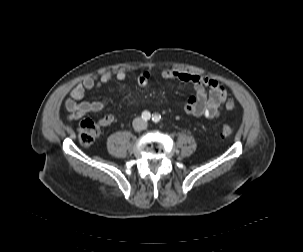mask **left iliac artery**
<instances>
[{
  "label": "left iliac artery",
  "mask_w": 303,
  "mask_h": 252,
  "mask_svg": "<svg viewBox=\"0 0 303 252\" xmlns=\"http://www.w3.org/2000/svg\"><path fill=\"white\" fill-rule=\"evenodd\" d=\"M160 119H161V116H160L159 114H154V115L152 116V120H153V122H155V123H158V122L160 121Z\"/></svg>",
  "instance_id": "44dca946"
}]
</instances>
